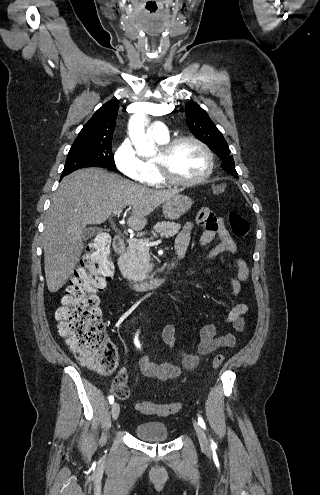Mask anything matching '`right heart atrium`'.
I'll use <instances>...</instances> for the list:
<instances>
[{"label":"right heart atrium","mask_w":320,"mask_h":495,"mask_svg":"<svg viewBox=\"0 0 320 495\" xmlns=\"http://www.w3.org/2000/svg\"><path fill=\"white\" fill-rule=\"evenodd\" d=\"M114 160L119 171L129 179L140 183L150 181V171L145 162L136 153L129 139H124L117 147Z\"/></svg>","instance_id":"obj_1"}]
</instances>
